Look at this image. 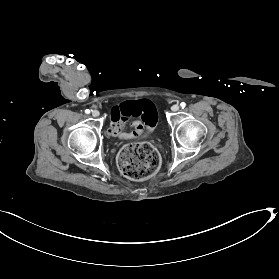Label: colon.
<instances>
[{"instance_id": "colon-1", "label": "colon", "mask_w": 279, "mask_h": 279, "mask_svg": "<svg viewBox=\"0 0 279 279\" xmlns=\"http://www.w3.org/2000/svg\"><path fill=\"white\" fill-rule=\"evenodd\" d=\"M118 166L127 178L141 180L152 176L158 170L160 157L148 143L129 144L119 152Z\"/></svg>"}]
</instances>
